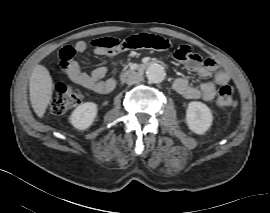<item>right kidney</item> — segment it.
Listing matches in <instances>:
<instances>
[{
	"label": "right kidney",
	"instance_id": "right-kidney-1",
	"mask_svg": "<svg viewBox=\"0 0 270 213\" xmlns=\"http://www.w3.org/2000/svg\"><path fill=\"white\" fill-rule=\"evenodd\" d=\"M97 115V105L86 102L79 105L71 114L70 122L78 130H86L91 126Z\"/></svg>",
	"mask_w": 270,
	"mask_h": 213
}]
</instances>
